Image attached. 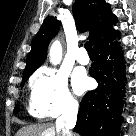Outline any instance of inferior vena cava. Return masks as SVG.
I'll use <instances>...</instances> for the list:
<instances>
[{
	"instance_id": "inferior-vena-cava-1",
	"label": "inferior vena cava",
	"mask_w": 136,
	"mask_h": 136,
	"mask_svg": "<svg viewBox=\"0 0 136 136\" xmlns=\"http://www.w3.org/2000/svg\"><path fill=\"white\" fill-rule=\"evenodd\" d=\"M78 104L70 103L62 115L56 120V129L62 136H71L70 129L74 128L77 120Z\"/></svg>"
}]
</instances>
